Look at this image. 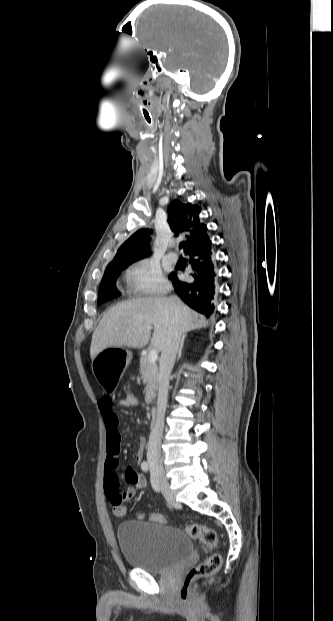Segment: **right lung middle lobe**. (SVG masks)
Listing matches in <instances>:
<instances>
[{
	"mask_svg": "<svg viewBox=\"0 0 333 621\" xmlns=\"http://www.w3.org/2000/svg\"><path fill=\"white\" fill-rule=\"evenodd\" d=\"M129 265L130 264H121L106 268L98 292L99 305L120 295V292L116 289L115 286L116 279L120 275L121 271L127 268Z\"/></svg>",
	"mask_w": 333,
	"mask_h": 621,
	"instance_id": "1",
	"label": "right lung middle lobe"
}]
</instances>
